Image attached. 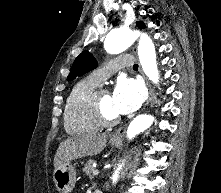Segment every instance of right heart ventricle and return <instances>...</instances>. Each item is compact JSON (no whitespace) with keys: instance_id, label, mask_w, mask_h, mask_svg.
I'll return each mask as SVG.
<instances>
[{"instance_id":"1","label":"right heart ventricle","mask_w":221,"mask_h":193,"mask_svg":"<svg viewBox=\"0 0 221 193\" xmlns=\"http://www.w3.org/2000/svg\"><path fill=\"white\" fill-rule=\"evenodd\" d=\"M99 85L91 76L76 82L70 90L64 106V127L70 135L89 134L99 131L102 125L84 110L83 102Z\"/></svg>"}]
</instances>
